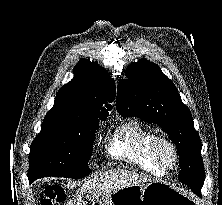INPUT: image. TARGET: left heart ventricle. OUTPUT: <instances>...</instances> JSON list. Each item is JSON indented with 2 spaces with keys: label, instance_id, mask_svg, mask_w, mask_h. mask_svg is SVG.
Wrapping results in <instances>:
<instances>
[{
  "label": "left heart ventricle",
  "instance_id": "obj_1",
  "mask_svg": "<svg viewBox=\"0 0 222 205\" xmlns=\"http://www.w3.org/2000/svg\"><path fill=\"white\" fill-rule=\"evenodd\" d=\"M160 156L164 162L170 164L173 160V153L170 148L163 146L160 148Z\"/></svg>",
  "mask_w": 222,
  "mask_h": 205
}]
</instances>
